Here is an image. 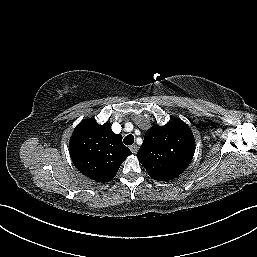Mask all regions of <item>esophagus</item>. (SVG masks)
Instances as JSON below:
<instances>
[{
	"label": "esophagus",
	"instance_id": "esophagus-1",
	"mask_svg": "<svg viewBox=\"0 0 257 257\" xmlns=\"http://www.w3.org/2000/svg\"><path fill=\"white\" fill-rule=\"evenodd\" d=\"M130 150L132 151V153H134V154H136L137 153V151H138V146L137 145H131L130 146Z\"/></svg>",
	"mask_w": 257,
	"mask_h": 257
}]
</instances>
